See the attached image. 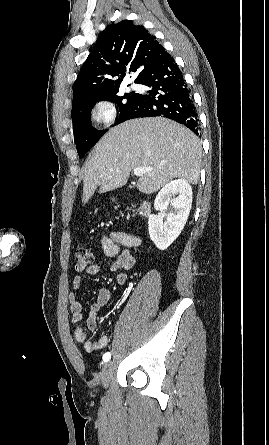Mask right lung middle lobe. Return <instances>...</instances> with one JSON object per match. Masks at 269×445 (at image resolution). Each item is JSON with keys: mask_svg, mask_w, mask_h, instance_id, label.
Returning <instances> with one entry per match:
<instances>
[{"mask_svg": "<svg viewBox=\"0 0 269 445\" xmlns=\"http://www.w3.org/2000/svg\"><path fill=\"white\" fill-rule=\"evenodd\" d=\"M118 89L109 93L95 96L75 107H72L73 133L77 152L82 158L93 147L107 130H97L91 126L89 116L91 108L96 102L108 100L116 103L120 109V116L116 124L126 120L140 94L131 92L123 96L118 94Z\"/></svg>", "mask_w": 269, "mask_h": 445, "instance_id": "1", "label": "right lung middle lobe"}]
</instances>
